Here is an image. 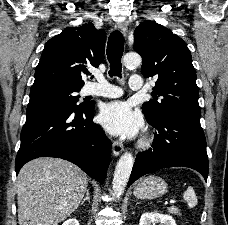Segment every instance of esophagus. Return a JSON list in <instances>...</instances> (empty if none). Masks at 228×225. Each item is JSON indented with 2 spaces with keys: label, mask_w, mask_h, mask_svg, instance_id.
<instances>
[{
  "label": "esophagus",
  "mask_w": 228,
  "mask_h": 225,
  "mask_svg": "<svg viewBox=\"0 0 228 225\" xmlns=\"http://www.w3.org/2000/svg\"><path fill=\"white\" fill-rule=\"evenodd\" d=\"M116 28L122 33L123 36L127 35L128 27L125 23H118L116 25ZM112 150L115 156L120 155L124 150L122 142H120L119 140H114L112 144Z\"/></svg>",
  "instance_id": "34e87169"
}]
</instances>
